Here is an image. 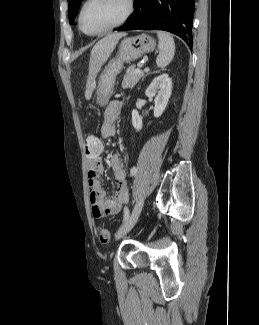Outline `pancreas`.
<instances>
[{
    "label": "pancreas",
    "instance_id": "1",
    "mask_svg": "<svg viewBox=\"0 0 259 325\" xmlns=\"http://www.w3.org/2000/svg\"><path fill=\"white\" fill-rule=\"evenodd\" d=\"M135 67L131 66L127 69L126 74L124 75L123 81H122V87L123 88H130L132 89L138 81L144 76V73H136Z\"/></svg>",
    "mask_w": 259,
    "mask_h": 325
}]
</instances>
